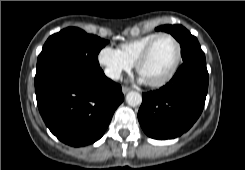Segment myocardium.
I'll return each instance as SVG.
<instances>
[{
  "label": "myocardium",
  "instance_id": "f54148a6",
  "mask_svg": "<svg viewBox=\"0 0 245 170\" xmlns=\"http://www.w3.org/2000/svg\"><path fill=\"white\" fill-rule=\"evenodd\" d=\"M162 37H169L173 40V42L175 43V45L177 47V55H176L175 61L172 65L171 69L168 71V73L165 76H163L161 79H159L157 81H147L148 85H150L152 87H161V86L165 85L166 83H168L176 74V72L180 66L181 60H182V47H181V44L178 41V39L170 33H166V32L159 33L156 37H154L145 46V48L142 50V52L137 57L136 62H135V68H136V71L138 72V74H140L141 65L148 59L154 45Z\"/></svg>",
  "mask_w": 245,
  "mask_h": 170
}]
</instances>
